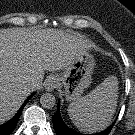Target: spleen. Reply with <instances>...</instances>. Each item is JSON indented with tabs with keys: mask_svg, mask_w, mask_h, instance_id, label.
Instances as JSON below:
<instances>
[{
	"mask_svg": "<svg viewBox=\"0 0 135 135\" xmlns=\"http://www.w3.org/2000/svg\"><path fill=\"white\" fill-rule=\"evenodd\" d=\"M117 92L118 80L109 76L90 93L71 102L68 113L74 125L88 132L105 129L116 111Z\"/></svg>",
	"mask_w": 135,
	"mask_h": 135,
	"instance_id": "spleen-1",
	"label": "spleen"
}]
</instances>
